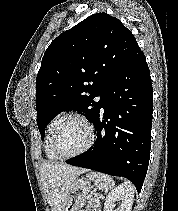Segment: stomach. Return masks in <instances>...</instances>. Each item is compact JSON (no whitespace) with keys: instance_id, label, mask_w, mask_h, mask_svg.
Returning a JSON list of instances; mask_svg holds the SVG:
<instances>
[{"instance_id":"0dacf381","label":"stomach","mask_w":178,"mask_h":211,"mask_svg":"<svg viewBox=\"0 0 178 211\" xmlns=\"http://www.w3.org/2000/svg\"><path fill=\"white\" fill-rule=\"evenodd\" d=\"M92 190L91 182L86 178L75 180L68 191V198L64 211H79Z\"/></svg>"}]
</instances>
